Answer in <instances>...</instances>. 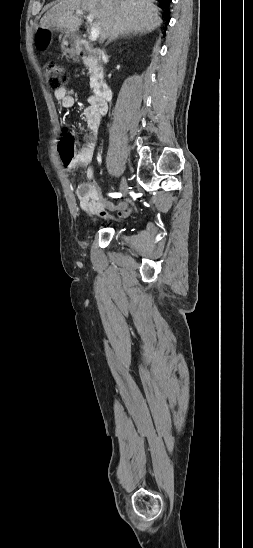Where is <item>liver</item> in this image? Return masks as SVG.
I'll return each mask as SVG.
<instances>
[{
    "label": "liver",
    "mask_w": 253,
    "mask_h": 548,
    "mask_svg": "<svg viewBox=\"0 0 253 548\" xmlns=\"http://www.w3.org/2000/svg\"><path fill=\"white\" fill-rule=\"evenodd\" d=\"M76 10H84L97 19L100 42L124 33H150L162 23L159 9L152 0H61L42 17V29H59L74 34L82 25Z\"/></svg>",
    "instance_id": "obj_1"
}]
</instances>
